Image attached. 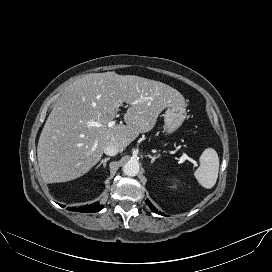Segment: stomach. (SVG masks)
Here are the masks:
<instances>
[{
  "label": "stomach",
  "mask_w": 272,
  "mask_h": 272,
  "mask_svg": "<svg viewBox=\"0 0 272 272\" xmlns=\"http://www.w3.org/2000/svg\"><path fill=\"white\" fill-rule=\"evenodd\" d=\"M164 129L166 134L175 132L186 118L185 105L169 106L164 113Z\"/></svg>",
  "instance_id": "1"
}]
</instances>
